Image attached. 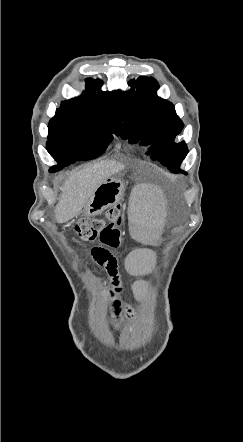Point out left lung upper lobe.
<instances>
[{
  "label": "left lung upper lobe",
  "instance_id": "5c2ea615",
  "mask_svg": "<svg viewBox=\"0 0 243 442\" xmlns=\"http://www.w3.org/2000/svg\"><path fill=\"white\" fill-rule=\"evenodd\" d=\"M131 90L123 93V120L120 136L130 142L152 144L147 154L171 171H176L188 153L185 142L176 143L184 125L174 105L156 96L158 82L141 76L131 80ZM136 88V91H135Z\"/></svg>",
  "mask_w": 243,
  "mask_h": 442
}]
</instances>
